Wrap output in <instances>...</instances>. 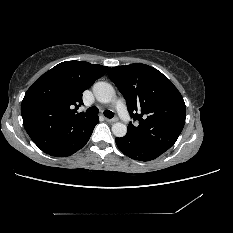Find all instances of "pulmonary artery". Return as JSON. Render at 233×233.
I'll return each mask as SVG.
<instances>
[{"label": "pulmonary artery", "mask_w": 233, "mask_h": 233, "mask_svg": "<svg viewBox=\"0 0 233 233\" xmlns=\"http://www.w3.org/2000/svg\"><path fill=\"white\" fill-rule=\"evenodd\" d=\"M116 108L125 124L132 123L133 118L130 115V113L126 110L125 104L121 99L117 100Z\"/></svg>", "instance_id": "pulmonary-artery-1"}]
</instances>
